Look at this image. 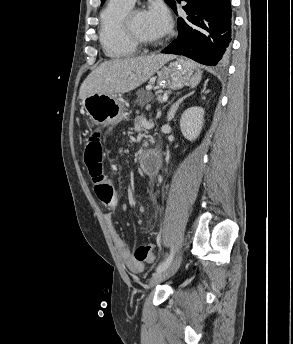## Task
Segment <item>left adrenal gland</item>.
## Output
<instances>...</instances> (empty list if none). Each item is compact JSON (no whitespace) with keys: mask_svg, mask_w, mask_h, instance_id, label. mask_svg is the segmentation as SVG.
<instances>
[{"mask_svg":"<svg viewBox=\"0 0 293 344\" xmlns=\"http://www.w3.org/2000/svg\"><path fill=\"white\" fill-rule=\"evenodd\" d=\"M193 94H194V91L191 92V93H189L188 95H185V96H183L182 98L178 99V101H176V102L172 105V107H171V109H170V111L168 112V115H167V120H168V121H170V120H172V119L174 118L175 113L177 112V110H178L180 104H181L185 99H187L188 97H190V96L193 95Z\"/></svg>","mask_w":293,"mask_h":344,"instance_id":"left-adrenal-gland-1","label":"left adrenal gland"}]
</instances>
